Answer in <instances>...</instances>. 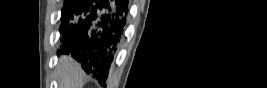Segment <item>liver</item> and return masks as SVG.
<instances>
[{"label": "liver", "mask_w": 267, "mask_h": 88, "mask_svg": "<svg viewBox=\"0 0 267 88\" xmlns=\"http://www.w3.org/2000/svg\"><path fill=\"white\" fill-rule=\"evenodd\" d=\"M56 71L59 88H83L85 73L71 56H61Z\"/></svg>", "instance_id": "6515ba94"}]
</instances>
